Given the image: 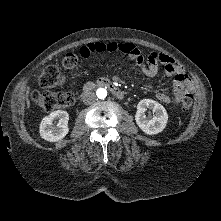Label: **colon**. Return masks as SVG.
Masks as SVG:
<instances>
[{
    "label": "colon",
    "mask_w": 221,
    "mask_h": 221,
    "mask_svg": "<svg viewBox=\"0 0 221 221\" xmlns=\"http://www.w3.org/2000/svg\"><path fill=\"white\" fill-rule=\"evenodd\" d=\"M79 57L75 53H67L62 59V65L66 69H72L77 66ZM64 77L58 67H45L40 76L39 84L42 88L52 89L63 84ZM31 99L35 105L44 111H52L58 108L69 107L74 102V96L70 92H51L33 90L31 92ZM192 98H185L180 104V110L186 112L191 108Z\"/></svg>",
    "instance_id": "obj_1"
}]
</instances>
